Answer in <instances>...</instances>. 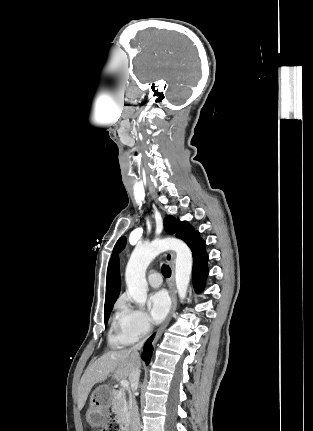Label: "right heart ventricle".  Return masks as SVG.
Here are the masks:
<instances>
[{
	"instance_id": "right-heart-ventricle-1",
	"label": "right heart ventricle",
	"mask_w": 313,
	"mask_h": 431,
	"mask_svg": "<svg viewBox=\"0 0 313 431\" xmlns=\"http://www.w3.org/2000/svg\"><path fill=\"white\" fill-rule=\"evenodd\" d=\"M123 308L119 304L113 318V329L109 341L114 347H121L132 344L136 339L130 335L122 323Z\"/></svg>"
}]
</instances>
